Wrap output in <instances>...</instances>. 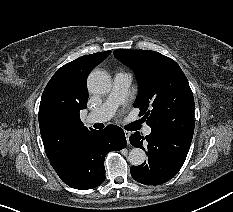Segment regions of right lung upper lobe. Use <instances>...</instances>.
I'll return each instance as SVG.
<instances>
[{
    "mask_svg": "<svg viewBox=\"0 0 233 212\" xmlns=\"http://www.w3.org/2000/svg\"><path fill=\"white\" fill-rule=\"evenodd\" d=\"M111 51L82 56L62 66L50 79L41 97L39 127L47 157L53 168L66 162L77 151L88 129L80 120L86 108L89 73Z\"/></svg>",
    "mask_w": 233,
    "mask_h": 212,
    "instance_id": "1",
    "label": "right lung upper lobe"
}]
</instances>
